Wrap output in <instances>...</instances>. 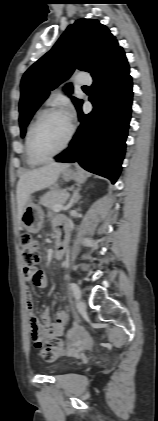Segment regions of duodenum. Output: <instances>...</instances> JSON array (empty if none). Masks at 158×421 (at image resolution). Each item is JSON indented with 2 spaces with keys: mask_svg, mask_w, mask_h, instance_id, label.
<instances>
[{
  "mask_svg": "<svg viewBox=\"0 0 158 421\" xmlns=\"http://www.w3.org/2000/svg\"><path fill=\"white\" fill-rule=\"evenodd\" d=\"M67 247H68V235L67 233H62L59 235L58 240H57L55 257L57 259H61L63 255L65 254Z\"/></svg>",
  "mask_w": 158,
  "mask_h": 421,
  "instance_id": "1",
  "label": "duodenum"
}]
</instances>
